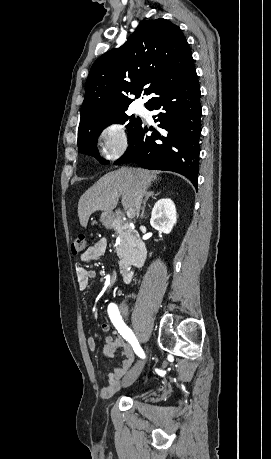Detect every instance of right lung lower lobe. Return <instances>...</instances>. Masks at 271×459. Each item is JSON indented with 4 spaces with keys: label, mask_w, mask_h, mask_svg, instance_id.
<instances>
[{
    "label": "right lung lower lobe",
    "mask_w": 271,
    "mask_h": 459,
    "mask_svg": "<svg viewBox=\"0 0 271 459\" xmlns=\"http://www.w3.org/2000/svg\"><path fill=\"white\" fill-rule=\"evenodd\" d=\"M145 106L160 111L153 117L160 122L159 131L147 135L141 124L115 164L132 161L146 169L177 172L197 188L202 109L196 71L164 87Z\"/></svg>",
    "instance_id": "98d812e1"
}]
</instances>
